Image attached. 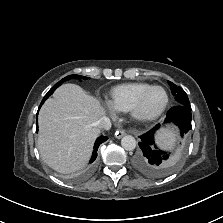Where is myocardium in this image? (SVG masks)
Returning a JSON list of instances; mask_svg holds the SVG:
<instances>
[{"label": "myocardium", "instance_id": "f54148a6", "mask_svg": "<svg viewBox=\"0 0 223 223\" xmlns=\"http://www.w3.org/2000/svg\"><path fill=\"white\" fill-rule=\"evenodd\" d=\"M155 89H161L165 93V102H164L163 106L156 113L151 114V115H145L142 112L143 104H144L147 96ZM169 101H170L169 93L165 87H163L161 85H152L138 97V99L136 100V102L134 103L133 107L130 110V115H131L132 119L138 123L152 122V121L158 119L165 112V110L167 109V107L169 105Z\"/></svg>", "mask_w": 223, "mask_h": 223}]
</instances>
